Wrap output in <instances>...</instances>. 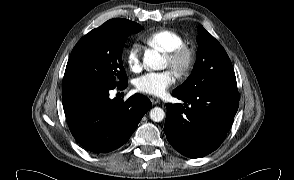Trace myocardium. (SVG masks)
<instances>
[{"label": "myocardium", "mask_w": 294, "mask_h": 180, "mask_svg": "<svg viewBox=\"0 0 294 180\" xmlns=\"http://www.w3.org/2000/svg\"><path fill=\"white\" fill-rule=\"evenodd\" d=\"M169 66L179 75L188 74L194 66V53L190 48L180 47L167 53Z\"/></svg>", "instance_id": "f54148a6"}]
</instances>
